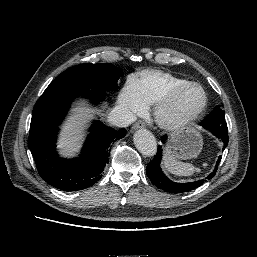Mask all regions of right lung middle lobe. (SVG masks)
<instances>
[{
	"instance_id": "right-lung-middle-lobe-1",
	"label": "right lung middle lobe",
	"mask_w": 257,
	"mask_h": 257,
	"mask_svg": "<svg viewBox=\"0 0 257 257\" xmlns=\"http://www.w3.org/2000/svg\"><path fill=\"white\" fill-rule=\"evenodd\" d=\"M122 75V70L111 64H81L57 76L44 94L66 89L113 91L117 88V81Z\"/></svg>"
}]
</instances>
